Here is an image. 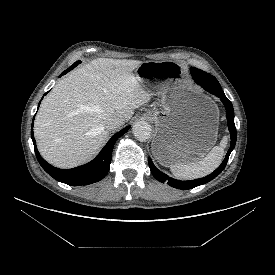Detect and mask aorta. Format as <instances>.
Segmentation results:
<instances>
[{
	"label": "aorta",
	"instance_id": "762f6f07",
	"mask_svg": "<svg viewBox=\"0 0 275 275\" xmlns=\"http://www.w3.org/2000/svg\"><path fill=\"white\" fill-rule=\"evenodd\" d=\"M132 132L140 141H146L151 135V126L146 121H138L133 125Z\"/></svg>",
	"mask_w": 275,
	"mask_h": 275
}]
</instances>
